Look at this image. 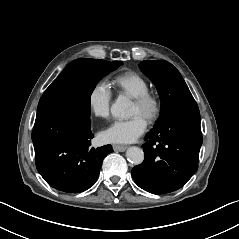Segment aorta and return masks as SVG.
<instances>
[{
	"label": "aorta",
	"instance_id": "aorta-1",
	"mask_svg": "<svg viewBox=\"0 0 239 239\" xmlns=\"http://www.w3.org/2000/svg\"><path fill=\"white\" fill-rule=\"evenodd\" d=\"M133 103L126 96H119L111 106V114L117 119H128L131 115ZM127 159L135 165L141 164L144 160V152L141 148L132 146L126 151Z\"/></svg>",
	"mask_w": 239,
	"mask_h": 239
}]
</instances>
